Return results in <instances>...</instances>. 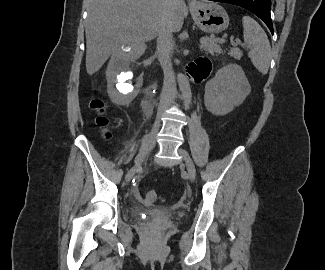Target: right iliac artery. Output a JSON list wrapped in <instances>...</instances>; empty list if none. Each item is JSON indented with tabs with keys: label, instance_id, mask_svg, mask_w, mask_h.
I'll return each mask as SVG.
<instances>
[{
	"label": "right iliac artery",
	"instance_id": "obj_1",
	"mask_svg": "<svg viewBox=\"0 0 325 270\" xmlns=\"http://www.w3.org/2000/svg\"><path fill=\"white\" fill-rule=\"evenodd\" d=\"M146 147H147V136L144 138L142 146L140 148V151H139L138 155L136 156L135 160H137L144 153Z\"/></svg>",
	"mask_w": 325,
	"mask_h": 270
}]
</instances>
